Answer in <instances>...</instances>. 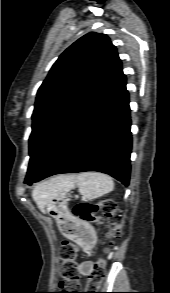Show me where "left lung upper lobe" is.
<instances>
[{"label":"left lung upper lobe","mask_w":170,"mask_h":293,"mask_svg":"<svg viewBox=\"0 0 170 293\" xmlns=\"http://www.w3.org/2000/svg\"><path fill=\"white\" fill-rule=\"evenodd\" d=\"M122 74L107 35L88 33L59 56L37 93L26 178L52 162Z\"/></svg>","instance_id":"left-lung-upper-lobe-1"}]
</instances>
